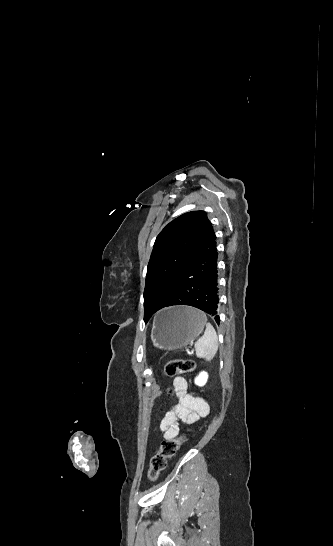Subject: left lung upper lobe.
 Listing matches in <instances>:
<instances>
[{"instance_id":"obj_1","label":"left lung upper lobe","mask_w":333,"mask_h":546,"mask_svg":"<svg viewBox=\"0 0 333 546\" xmlns=\"http://www.w3.org/2000/svg\"><path fill=\"white\" fill-rule=\"evenodd\" d=\"M211 227L206 212L193 211L174 219L157 236L144 289L145 322L167 302L174 283L196 258ZM203 267L201 262L196 273Z\"/></svg>"}]
</instances>
